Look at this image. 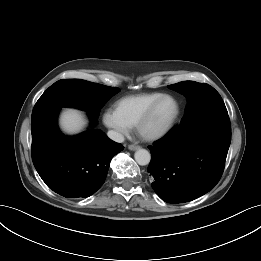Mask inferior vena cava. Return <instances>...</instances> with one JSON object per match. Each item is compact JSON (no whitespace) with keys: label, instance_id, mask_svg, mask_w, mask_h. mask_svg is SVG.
Listing matches in <instances>:
<instances>
[{"label":"inferior vena cava","instance_id":"1","mask_svg":"<svg viewBox=\"0 0 261 261\" xmlns=\"http://www.w3.org/2000/svg\"><path fill=\"white\" fill-rule=\"evenodd\" d=\"M107 136L115 142H118V143L124 142V136L121 133H118L116 131H113V130L108 131Z\"/></svg>","mask_w":261,"mask_h":261}]
</instances>
